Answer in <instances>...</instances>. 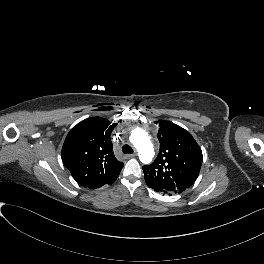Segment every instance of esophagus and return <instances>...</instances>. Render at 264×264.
I'll return each mask as SVG.
<instances>
[{"label":"esophagus","mask_w":264,"mask_h":264,"mask_svg":"<svg viewBox=\"0 0 264 264\" xmlns=\"http://www.w3.org/2000/svg\"><path fill=\"white\" fill-rule=\"evenodd\" d=\"M137 154L136 153H134V154H127L126 155V158H133V157H135Z\"/></svg>","instance_id":"esophagus-1"}]
</instances>
